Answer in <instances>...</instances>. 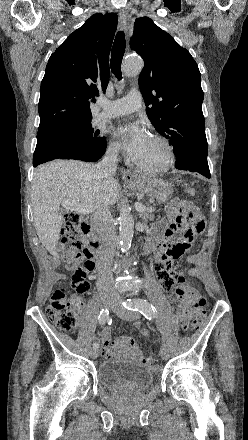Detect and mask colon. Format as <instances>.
<instances>
[{
  "instance_id": "obj_1",
  "label": "colon",
  "mask_w": 248,
  "mask_h": 440,
  "mask_svg": "<svg viewBox=\"0 0 248 440\" xmlns=\"http://www.w3.org/2000/svg\"><path fill=\"white\" fill-rule=\"evenodd\" d=\"M186 192L193 196L195 188L189 185L186 187ZM187 217L190 228L194 232L201 233L205 229V221L195 207L188 211ZM82 231L83 223H81L79 215L72 212L67 213L62 226V239L57 248L66 262V267L73 271L71 287L74 292L70 294L65 288L56 290L47 306L49 320L64 330L75 327L81 298L90 289L87 275L95 268L94 256L82 240ZM195 305L197 313L189 326L193 330L199 329L205 322V299L198 295L195 299ZM140 334L147 338L149 330L142 328ZM147 360L149 363L153 362L151 357Z\"/></svg>"
}]
</instances>
